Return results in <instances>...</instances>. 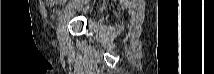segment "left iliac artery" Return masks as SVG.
Segmentation results:
<instances>
[{
	"label": "left iliac artery",
	"instance_id": "obj_1",
	"mask_svg": "<svg viewBox=\"0 0 214 74\" xmlns=\"http://www.w3.org/2000/svg\"><path fill=\"white\" fill-rule=\"evenodd\" d=\"M74 4V1H73ZM70 8H72V4L67 5L65 8L62 9L60 12V18L63 16L64 13H66Z\"/></svg>",
	"mask_w": 214,
	"mask_h": 74
}]
</instances>
